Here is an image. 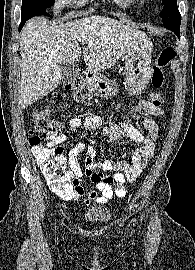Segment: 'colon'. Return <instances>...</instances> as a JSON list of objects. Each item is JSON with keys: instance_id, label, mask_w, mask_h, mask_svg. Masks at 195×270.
Masks as SVG:
<instances>
[{"instance_id": "obj_1", "label": "colon", "mask_w": 195, "mask_h": 270, "mask_svg": "<svg viewBox=\"0 0 195 270\" xmlns=\"http://www.w3.org/2000/svg\"><path fill=\"white\" fill-rule=\"evenodd\" d=\"M176 55V50L173 47H166L160 51L152 67L151 85L153 88L159 89L163 86L164 68L174 61ZM68 88L73 89L74 96L78 101L86 102L91 98L89 88L81 79H76ZM158 106H162V97L152 93L137 103L132 113L147 112ZM32 123L34 131L44 133L48 138L55 137L63 128L61 123L50 118L48 109L35 111ZM34 131H30L29 142L49 187L58 195L68 194L73 185L72 178L66 168V158L62 147L50 142L44 144L41 138L34 134Z\"/></svg>"}]
</instances>
